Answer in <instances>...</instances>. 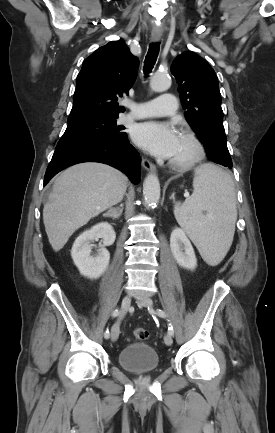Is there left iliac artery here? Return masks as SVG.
Segmentation results:
<instances>
[{"instance_id": "obj_1", "label": "left iliac artery", "mask_w": 275, "mask_h": 433, "mask_svg": "<svg viewBox=\"0 0 275 433\" xmlns=\"http://www.w3.org/2000/svg\"><path fill=\"white\" fill-rule=\"evenodd\" d=\"M157 314H158L160 317H162V318H166V314H165V312H164L163 310H161V309H158V310H157ZM168 333L171 334V335L174 334V329H173V326H172L171 324H169V326H168Z\"/></svg>"}]
</instances>
